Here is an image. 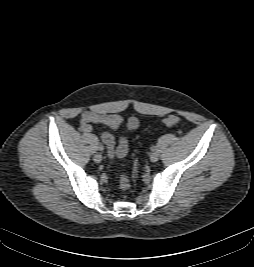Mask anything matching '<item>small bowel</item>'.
Returning a JSON list of instances; mask_svg holds the SVG:
<instances>
[{"label":"small bowel","mask_w":254,"mask_h":267,"mask_svg":"<svg viewBox=\"0 0 254 267\" xmlns=\"http://www.w3.org/2000/svg\"><path fill=\"white\" fill-rule=\"evenodd\" d=\"M92 124H101L112 129H119L124 125L125 132H133L139 127V120L136 117H130L125 123L119 114H101L92 111H86L81 114L80 129L82 132L89 133L92 131ZM101 140L105 144L108 155L111 158H123L129 150V141L125 135L119 138L116 145L114 136L109 132H102Z\"/></svg>","instance_id":"1"}]
</instances>
